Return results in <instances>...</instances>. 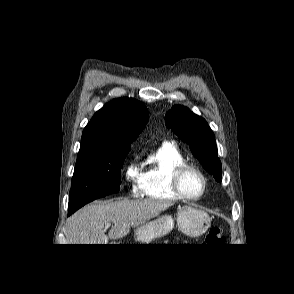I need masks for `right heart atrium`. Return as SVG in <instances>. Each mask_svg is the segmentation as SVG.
Instances as JSON below:
<instances>
[{
  "mask_svg": "<svg viewBox=\"0 0 294 294\" xmlns=\"http://www.w3.org/2000/svg\"><path fill=\"white\" fill-rule=\"evenodd\" d=\"M124 182L128 187L132 195H138L140 192L141 184V169L139 165L138 156L133 157V159L127 164L124 169Z\"/></svg>",
  "mask_w": 294,
  "mask_h": 294,
  "instance_id": "1",
  "label": "right heart atrium"
}]
</instances>
